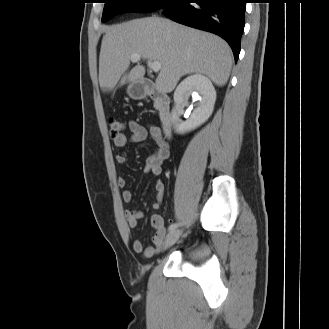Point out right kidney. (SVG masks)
Here are the masks:
<instances>
[{"instance_id": "obj_1", "label": "right kidney", "mask_w": 329, "mask_h": 329, "mask_svg": "<svg viewBox=\"0 0 329 329\" xmlns=\"http://www.w3.org/2000/svg\"><path fill=\"white\" fill-rule=\"evenodd\" d=\"M190 95H199L197 107L190 118L178 123L179 107L188 102ZM216 101V91L211 81L201 74H194L185 78L174 92L175 106L171 112V121L178 133L189 132L203 124L212 114Z\"/></svg>"}]
</instances>
